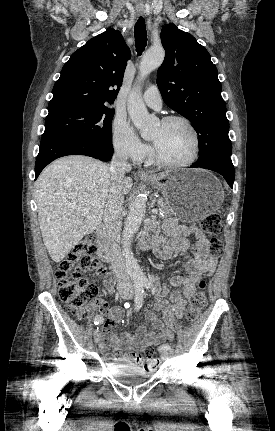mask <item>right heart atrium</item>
Wrapping results in <instances>:
<instances>
[{
	"instance_id": "d8ad5b80",
	"label": "right heart atrium",
	"mask_w": 275,
	"mask_h": 431,
	"mask_svg": "<svg viewBox=\"0 0 275 431\" xmlns=\"http://www.w3.org/2000/svg\"><path fill=\"white\" fill-rule=\"evenodd\" d=\"M112 143L115 151L124 158L140 161L148 154V147L136 136L123 116H116L112 125Z\"/></svg>"
}]
</instances>
